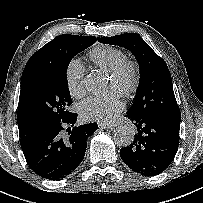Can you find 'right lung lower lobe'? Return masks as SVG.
<instances>
[{
    "instance_id": "1",
    "label": "right lung lower lobe",
    "mask_w": 203,
    "mask_h": 203,
    "mask_svg": "<svg viewBox=\"0 0 203 203\" xmlns=\"http://www.w3.org/2000/svg\"><path fill=\"white\" fill-rule=\"evenodd\" d=\"M76 120L77 114L71 113L57 124L20 137L26 162L37 175L49 180H61L82 162L86 141L98 125L89 123L77 127L74 126Z\"/></svg>"
}]
</instances>
